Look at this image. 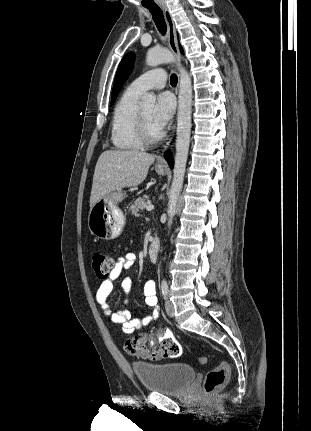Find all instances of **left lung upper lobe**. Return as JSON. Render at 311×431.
Here are the masks:
<instances>
[{
	"label": "left lung upper lobe",
	"instance_id": "5c2ea615",
	"mask_svg": "<svg viewBox=\"0 0 311 431\" xmlns=\"http://www.w3.org/2000/svg\"><path fill=\"white\" fill-rule=\"evenodd\" d=\"M181 52H183L182 49H181ZM134 62H135V54L132 52L126 54L122 58L115 76V81H114V86H113V91L111 96V105H113V103L115 102V99L118 93L120 92L122 85L125 83L130 73L132 72Z\"/></svg>",
	"mask_w": 311,
	"mask_h": 431
}]
</instances>
